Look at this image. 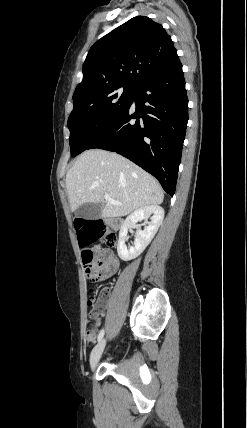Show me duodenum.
I'll return each instance as SVG.
<instances>
[{
  "label": "duodenum",
  "mask_w": 247,
  "mask_h": 428,
  "mask_svg": "<svg viewBox=\"0 0 247 428\" xmlns=\"http://www.w3.org/2000/svg\"><path fill=\"white\" fill-rule=\"evenodd\" d=\"M108 223L114 228H120L122 225V220L120 218H110L108 219Z\"/></svg>",
  "instance_id": "410a0bca"
}]
</instances>
